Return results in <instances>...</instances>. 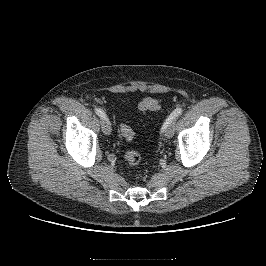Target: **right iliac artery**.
<instances>
[{
    "label": "right iliac artery",
    "instance_id": "obj_1",
    "mask_svg": "<svg viewBox=\"0 0 266 266\" xmlns=\"http://www.w3.org/2000/svg\"><path fill=\"white\" fill-rule=\"evenodd\" d=\"M95 113H96L98 116L102 117V118H106V115H105L104 111L101 110L100 108H95Z\"/></svg>",
    "mask_w": 266,
    "mask_h": 266
}]
</instances>
